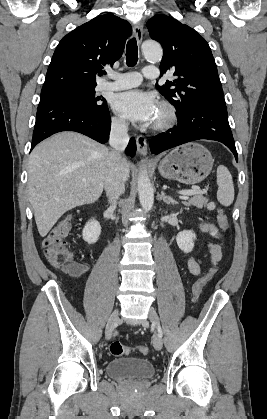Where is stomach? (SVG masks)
<instances>
[{"label": "stomach", "instance_id": "1", "mask_svg": "<svg viewBox=\"0 0 267 419\" xmlns=\"http://www.w3.org/2000/svg\"><path fill=\"white\" fill-rule=\"evenodd\" d=\"M213 158L206 147L190 142L173 149L159 163L158 170L166 179L192 185L204 180L213 167Z\"/></svg>", "mask_w": 267, "mask_h": 419}]
</instances>
